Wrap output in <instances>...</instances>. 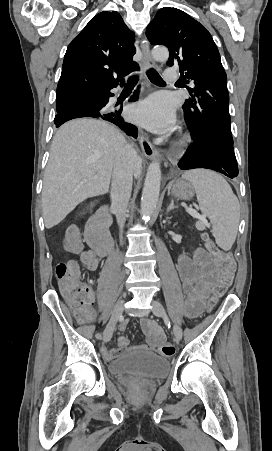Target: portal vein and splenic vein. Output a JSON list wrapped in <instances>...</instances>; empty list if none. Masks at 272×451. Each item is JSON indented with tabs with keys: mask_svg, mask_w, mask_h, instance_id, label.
Listing matches in <instances>:
<instances>
[{
	"mask_svg": "<svg viewBox=\"0 0 272 451\" xmlns=\"http://www.w3.org/2000/svg\"><path fill=\"white\" fill-rule=\"evenodd\" d=\"M186 212H188V214H190V216H193V218H200L198 212H196V210H192V208H186Z\"/></svg>",
	"mask_w": 272,
	"mask_h": 451,
	"instance_id": "portal-vein-and-splenic-vein-1",
	"label": "portal vein and splenic vein"
}]
</instances>
